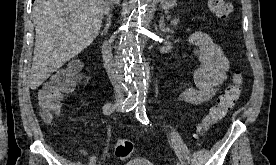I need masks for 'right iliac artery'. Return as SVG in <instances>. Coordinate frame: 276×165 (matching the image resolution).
Masks as SVG:
<instances>
[{"label": "right iliac artery", "instance_id": "right-iliac-artery-1", "mask_svg": "<svg viewBox=\"0 0 276 165\" xmlns=\"http://www.w3.org/2000/svg\"><path fill=\"white\" fill-rule=\"evenodd\" d=\"M136 104H137L136 100H134V99L127 100L126 99V101L123 102V104L119 110L122 112H129L135 108ZM114 109H115V106L113 104L107 103L103 107V113L105 115H110L113 113Z\"/></svg>", "mask_w": 276, "mask_h": 165}]
</instances>
